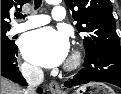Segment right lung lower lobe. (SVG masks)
<instances>
[{"label": "right lung lower lobe", "instance_id": "1", "mask_svg": "<svg viewBox=\"0 0 121 94\" xmlns=\"http://www.w3.org/2000/svg\"><path fill=\"white\" fill-rule=\"evenodd\" d=\"M18 55V47L13 46L3 47L1 46V76L6 77L16 83L26 85L24 78L18 70L16 63V56ZM42 91L38 88V92Z\"/></svg>", "mask_w": 121, "mask_h": 94}]
</instances>
